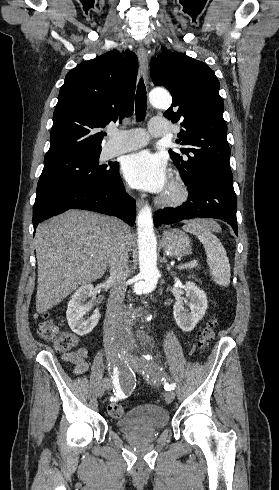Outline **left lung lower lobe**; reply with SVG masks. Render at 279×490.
<instances>
[{
	"label": "left lung lower lobe",
	"instance_id": "0a47b994",
	"mask_svg": "<svg viewBox=\"0 0 279 490\" xmlns=\"http://www.w3.org/2000/svg\"><path fill=\"white\" fill-rule=\"evenodd\" d=\"M187 185L189 197L182 206L155 212L154 225L156 227L198 217L215 218L226 221L238 235L237 198L233 180L211 174H201Z\"/></svg>",
	"mask_w": 279,
	"mask_h": 490
}]
</instances>
